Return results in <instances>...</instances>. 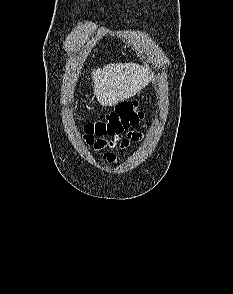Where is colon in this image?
I'll return each instance as SVG.
<instances>
[{
  "label": "colon",
  "mask_w": 233,
  "mask_h": 294,
  "mask_svg": "<svg viewBox=\"0 0 233 294\" xmlns=\"http://www.w3.org/2000/svg\"><path fill=\"white\" fill-rule=\"evenodd\" d=\"M136 107V102H122L105 120L89 123L85 127L89 142L93 141L94 136L119 137L124 131L137 125L143 114Z\"/></svg>",
  "instance_id": "colon-1"
}]
</instances>
